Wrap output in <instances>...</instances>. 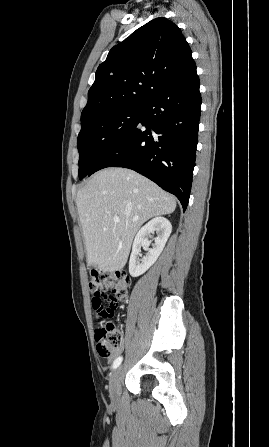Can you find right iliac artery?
I'll list each match as a JSON object with an SVG mask.
<instances>
[{
  "mask_svg": "<svg viewBox=\"0 0 269 447\" xmlns=\"http://www.w3.org/2000/svg\"><path fill=\"white\" fill-rule=\"evenodd\" d=\"M122 357H118L113 363V369H116L122 362Z\"/></svg>",
  "mask_w": 269,
  "mask_h": 447,
  "instance_id": "right-iliac-artery-1",
  "label": "right iliac artery"
}]
</instances>
